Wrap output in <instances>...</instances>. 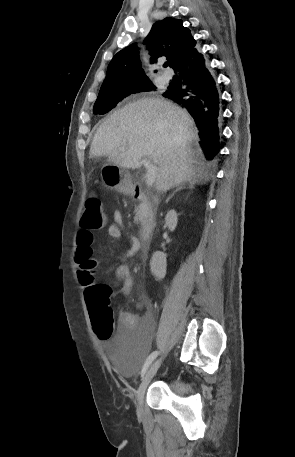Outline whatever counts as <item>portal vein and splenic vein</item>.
Listing matches in <instances>:
<instances>
[{"label": "portal vein and splenic vein", "mask_w": 295, "mask_h": 457, "mask_svg": "<svg viewBox=\"0 0 295 457\" xmlns=\"http://www.w3.org/2000/svg\"><path fill=\"white\" fill-rule=\"evenodd\" d=\"M121 148H124V147L121 146ZM142 164L145 166V168L147 170L146 175H145L146 184H147V186H152V184L154 183V181L156 179L158 168L156 165H153L149 159H143Z\"/></svg>", "instance_id": "obj_1"}]
</instances>
